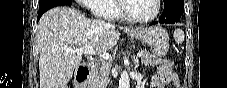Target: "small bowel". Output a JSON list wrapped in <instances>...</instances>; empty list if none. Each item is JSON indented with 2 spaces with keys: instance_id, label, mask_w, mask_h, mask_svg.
Wrapping results in <instances>:
<instances>
[{
  "instance_id": "c3829d8e",
  "label": "small bowel",
  "mask_w": 227,
  "mask_h": 88,
  "mask_svg": "<svg viewBox=\"0 0 227 88\" xmlns=\"http://www.w3.org/2000/svg\"><path fill=\"white\" fill-rule=\"evenodd\" d=\"M172 82L173 86L179 85V79L174 72L166 66L158 68V74L152 79V88H164L168 83Z\"/></svg>"
}]
</instances>
